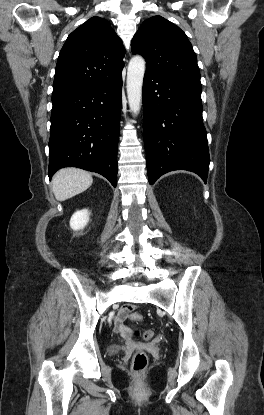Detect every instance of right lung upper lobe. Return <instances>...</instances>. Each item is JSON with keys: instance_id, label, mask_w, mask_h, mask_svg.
Masks as SVG:
<instances>
[{"instance_id": "cb5924a9", "label": "right lung upper lobe", "mask_w": 264, "mask_h": 415, "mask_svg": "<svg viewBox=\"0 0 264 415\" xmlns=\"http://www.w3.org/2000/svg\"><path fill=\"white\" fill-rule=\"evenodd\" d=\"M124 55L122 41L110 22L98 16L90 18L68 36L60 51L52 96L118 77Z\"/></svg>"}]
</instances>
